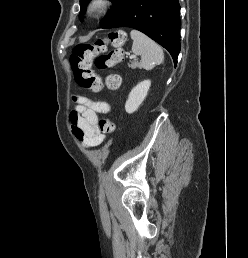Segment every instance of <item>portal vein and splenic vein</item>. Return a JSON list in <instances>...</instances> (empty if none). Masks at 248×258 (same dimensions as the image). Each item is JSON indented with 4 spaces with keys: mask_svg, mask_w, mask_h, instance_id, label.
Returning a JSON list of instances; mask_svg holds the SVG:
<instances>
[{
    "mask_svg": "<svg viewBox=\"0 0 248 258\" xmlns=\"http://www.w3.org/2000/svg\"><path fill=\"white\" fill-rule=\"evenodd\" d=\"M136 58V56H130V59H135Z\"/></svg>",
    "mask_w": 248,
    "mask_h": 258,
    "instance_id": "18ae733b",
    "label": "portal vein and splenic vein"
}]
</instances>
